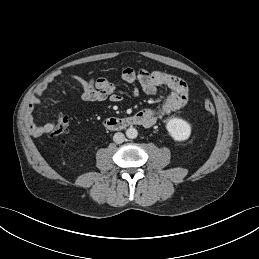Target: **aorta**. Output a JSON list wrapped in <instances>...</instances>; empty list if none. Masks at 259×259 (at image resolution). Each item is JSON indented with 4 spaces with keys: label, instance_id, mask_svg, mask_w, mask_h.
I'll return each instance as SVG.
<instances>
[{
    "label": "aorta",
    "instance_id": "1",
    "mask_svg": "<svg viewBox=\"0 0 259 259\" xmlns=\"http://www.w3.org/2000/svg\"><path fill=\"white\" fill-rule=\"evenodd\" d=\"M137 135H138V131L133 127H130L126 130V136L129 139H135Z\"/></svg>",
    "mask_w": 259,
    "mask_h": 259
}]
</instances>
